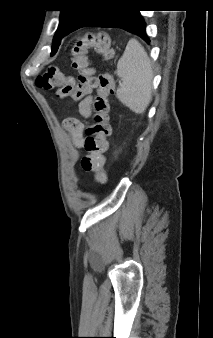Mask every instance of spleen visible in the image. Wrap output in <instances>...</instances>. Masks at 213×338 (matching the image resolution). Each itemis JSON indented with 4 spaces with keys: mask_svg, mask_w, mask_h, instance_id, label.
<instances>
[{
    "mask_svg": "<svg viewBox=\"0 0 213 338\" xmlns=\"http://www.w3.org/2000/svg\"><path fill=\"white\" fill-rule=\"evenodd\" d=\"M122 83L117 88L119 101L135 113H143L152 99L153 71L144 47L130 39L117 64Z\"/></svg>",
    "mask_w": 213,
    "mask_h": 338,
    "instance_id": "3e777b00",
    "label": "spleen"
}]
</instances>
